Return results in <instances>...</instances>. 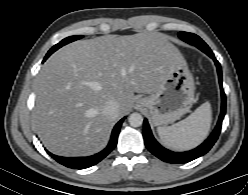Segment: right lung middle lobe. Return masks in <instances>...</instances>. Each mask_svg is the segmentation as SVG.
I'll list each match as a JSON object with an SVG mask.
<instances>
[{
    "label": "right lung middle lobe",
    "mask_w": 248,
    "mask_h": 195,
    "mask_svg": "<svg viewBox=\"0 0 248 195\" xmlns=\"http://www.w3.org/2000/svg\"><path fill=\"white\" fill-rule=\"evenodd\" d=\"M83 36L79 35V36H70L67 37L65 39H63L61 42H59L58 44H56L55 46H53L47 53L46 57L44 58V60H46L53 52H55L56 50H58L59 48H61L62 46L73 42L75 40L81 39Z\"/></svg>",
    "instance_id": "dd1d6c3e"
}]
</instances>
